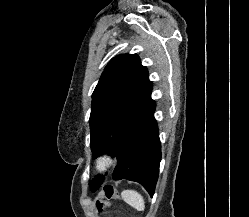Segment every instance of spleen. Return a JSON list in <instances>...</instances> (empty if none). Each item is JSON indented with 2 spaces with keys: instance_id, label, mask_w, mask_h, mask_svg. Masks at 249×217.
<instances>
[{
  "instance_id": "spleen-1",
  "label": "spleen",
  "mask_w": 249,
  "mask_h": 217,
  "mask_svg": "<svg viewBox=\"0 0 249 217\" xmlns=\"http://www.w3.org/2000/svg\"><path fill=\"white\" fill-rule=\"evenodd\" d=\"M122 198L126 203L135 208L138 211L145 209V202L141 194L134 190H124L122 192Z\"/></svg>"
}]
</instances>
